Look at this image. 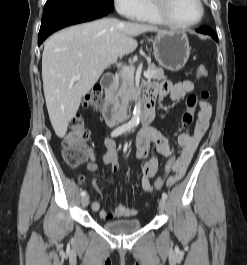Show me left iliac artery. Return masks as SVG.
Segmentation results:
<instances>
[{
  "mask_svg": "<svg viewBox=\"0 0 247 265\" xmlns=\"http://www.w3.org/2000/svg\"><path fill=\"white\" fill-rule=\"evenodd\" d=\"M162 198H167V194L165 192L162 193Z\"/></svg>",
  "mask_w": 247,
  "mask_h": 265,
  "instance_id": "obj_1",
  "label": "left iliac artery"
}]
</instances>
